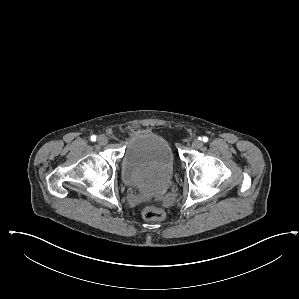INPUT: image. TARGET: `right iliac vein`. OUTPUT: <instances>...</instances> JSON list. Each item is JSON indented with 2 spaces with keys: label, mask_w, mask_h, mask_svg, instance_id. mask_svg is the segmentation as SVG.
<instances>
[{
  "label": "right iliac vein",
  "mask_w": 299,
  "mask_h": 299,
  "mask_svg": "<svg viewBox=\"0 0 299 299\" xmlns=\"http://www.w3.org/2000/svg\"><path fill=\"white\" fill-rule=\"evenodd\" d=\"M97 141L100 145H106L108 143V138L105 135H100L98 136Z\"/></svg>",
  "instance_id": "63e3f726"
}]
</instances>
